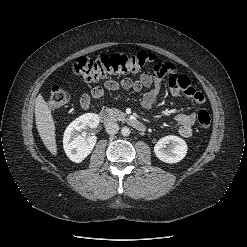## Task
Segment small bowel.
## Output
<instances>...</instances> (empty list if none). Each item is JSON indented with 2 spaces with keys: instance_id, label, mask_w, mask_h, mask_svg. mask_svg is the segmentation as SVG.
<instances>
[{
  "instance_id": "obj_1",
  "label": "small bowel",
  "mask_w": 247,
  "mask_h": 247,
  "mask_svg": "<svg viewBox=\"0 0 247 247\" xmlns=\"http://www.w3.org/2000/svg\"><path fill=\"white\" fill-rule=\"evenodd\" d=\"M167 67L165 70L157 75L149 72H144L137 80L124 78L117 82L115 80H107L105 88L111 91H116L119 88L132 89L135 92H140L144 88H149L142 98L141 105L145 109L153 108L158 100L161 91V81L164 76H168V83L171 93L174 96L185 95L192 100L196 105H201L204 102V96L197 91L192 85L189 78L185 75L179 74L175 66L165 63ZM104 95L102 87H95L91 90L90 94H83L80 103L85 109L92 106V99H101ZM195 113H179L175 116L176 122L179 124V133L181 136L188 138L193 134V125L195 123Z\"/></svg>"
}]
</instances>
